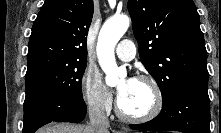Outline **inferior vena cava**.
<instances>
[{"label":"inferior vena cava","mask_w":221,"mask_h":133,"mask_svg":"<svg viewBox=\"0 0 221 133\" xmlns=\"http://www.w3.org/2000/svg\"><path fill=\"white\" fill-rule=\"evenodd\" d=\"M89 120V126L92 128L93 133H107L110 124L101 105L89 107Z\"/></svg>","instance_id":"1"}]
</instances>
